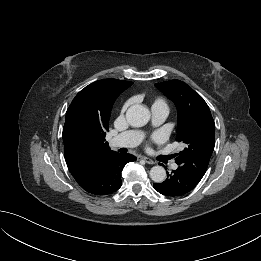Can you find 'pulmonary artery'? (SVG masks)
Wrapping results in <instances>:
<instances>
[{"mask_svg": "<svg viewBox=\"0 0 261 261\" xmlns=\"http://www.w3.org/2000/svg\"><path fill=\"white\" fill-rule=\"evenodd\" d=\"M168 112L165 110H156L152 111V119L155 124L162 123ZM141 134L135 131H129L122 133L111 140L110 145L112 147H134L139 144L141 141ZM177 165H173V168H176Z\"/></svg>", "mask_w": 261, "mask_h": 261, "instance_id": "1", "label": "pulmonary artery"}]
</instances>
